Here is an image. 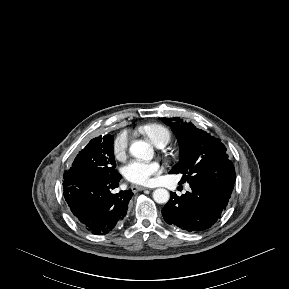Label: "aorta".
Instances as JSON below:
<instances>
[{
    "instance_id": "1",
    "label": "aorta",
    "mask_w": 289,
    "mask_h": 289,
    "mask_svg": "<svg viewBox=\"0 0 289 289\" xmlns=\"http://www.w3.org/2000/svg\"><path fill=\"white\" fill-rule=\"evenodd\" d=\"M130 153L139 159L151 160L154 155L153 148L150 143L145 141H136L130 145ZM170 198L168 190L164 188H158L153 192V199L156 203L164 204L167 203Z\"/></svg>"
}]
</instances>
